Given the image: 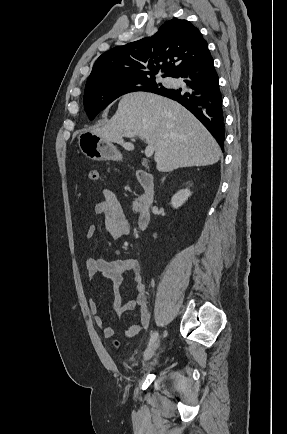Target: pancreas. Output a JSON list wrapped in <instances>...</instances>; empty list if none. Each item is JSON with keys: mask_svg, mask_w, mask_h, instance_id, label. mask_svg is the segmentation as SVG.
<instances>
[{"mask_svg": "<svg viewBox=\"0 0 287 434\" xmlns=\"http://www.w3.org/2000/svg\"><path fill=\"white\" fill-rule=\"evenodd\" d=\"M138 205H139L138 200H135V201L133 202V211H135V212L138 211Z\"/></svg>", "mask_w": 287, "mask_h": 434, "instance_id": "1", "label": "pancreas"}]
</instances>
